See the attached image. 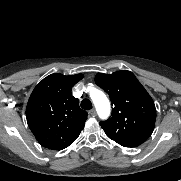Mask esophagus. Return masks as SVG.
Here are the masks:
<instances>
[{"mask_svg":"<svg viewBox=\"0 0 181 181\" xmlns=\"http://www.w3.org/2000/svg\"><path fill=\"white\" fill-rule=\"evenodd\" d=\"M89 114H90L91 116L95 117V116H96V110H95V109H91V110L89 111Z\"/></svg>","mask_w":181,"mask_h":181,"instance_id":"1","label":"esophagus"}]
</instances>
